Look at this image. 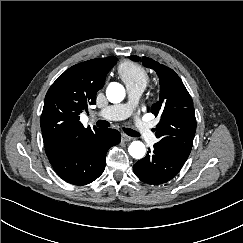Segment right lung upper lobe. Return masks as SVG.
<instances>
[{
  "label": "right lung upper lobe",
  "instance_id": "right-lung-upper-lobe-1",
  "mask_svg": "<svg viewBox=\"0 0 243 243\" xmlns=\"http://www.w3.org/2000/svg\"><path fill=\"white\" fill-rule=\"evenodd\" d=\"M116 62L117 58L110 56L76 64L51 85L40 120L46 150L77 142L101 130L84 128L79 115L88 109V104L96 103V93Z\"/></svg>",
  "mask_w": 243,
  "mask_h": 243
}]
</instances>
